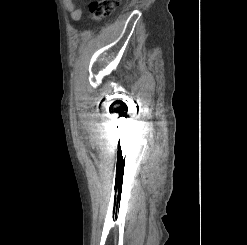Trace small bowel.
Returning a JSON list of instances; mask_svg holds the SVG:
<instances>
[{"label": "small bowel", "mask_w": 247, "mask_h": 245, "mask_svg": "<svg viewBox=\"0 0 247 245\" xmlns=\"http://www.w3.org/2000/svg\"><path fill=\"white\" fill-rule=\"evenodd\" d=\"M65 8L70 12L71 18L75 21L83 17L84 11L81 7L75 5L73 0H63Z\"/></svg>", "instance_id": "small-bowel-1"}]
</instances>
